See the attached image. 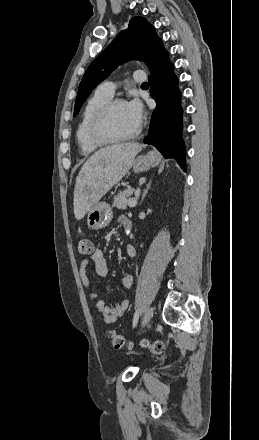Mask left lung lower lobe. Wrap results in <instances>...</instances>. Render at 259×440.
<instances>
[{
  "label": "left lung lower lobe",
  "mask_w": 259,
  "mask_h": 440,
  "mask_svg": "<svg viewBox=\"0 0 259 440\" xmlns=\"http://www.w3.org/2000/svg\"><path fill=\"white\" fill-rule=\"evenodd\" d=\"M148 66L152 72L150 93L157 104L144 143L155 146L165 158H174L186 171L185 146L181 138V93L174 66L163 44L156 49Z\"/></svg>",
  "instance_id": "obj_1"
}]
</instances>
